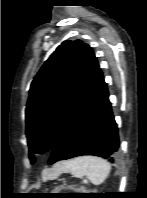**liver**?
I'll return each instance as SVG.
<instances>
[{"mask_svg": "<svg viewBox=\"0 0 147 198\" xmlns=\"http://www.w3.org/2000/svg\"><path fill=\"white\" fill-rule=\"evenodd\" d=\"M67 162H60L57 163L50 174H44L43 175V179L47 180V179H56L63 171H65V166H66Z\"/></svg>", "mask_w": 147, "mask_h": 198, "instance_id": "1", "label": "liver"}]
</instances>
